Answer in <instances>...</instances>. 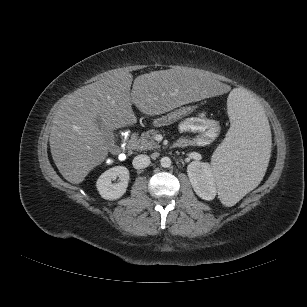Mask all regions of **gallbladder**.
Returning a JSON list of instances; mask_svg holds the SVG:
<instances>
[{"label": "gallbladder", "mask_w": 307, "mask_h": 307, "mask_svg": "<svg viewBox=\"0 0 307 307\" xmlns=\"http://www.w3.org/2000/svg\"><path fill=\"white\" fill-rule=\"evenodd\" d=\"M95 123L102 131L105 142L106 143L112 142L114 140L113 131L110 128H108L100 118H97Z\"/></svg>", "instance_id": "bac80fb5"}]
</instances>
